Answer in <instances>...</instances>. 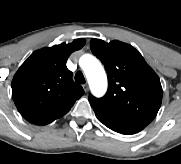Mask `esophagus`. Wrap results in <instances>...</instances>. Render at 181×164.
Segmentation results:
<instances>
[{
  "label": "esophagus",
  "mask_w": 181,
  "mask_h": 164,
  "mask_svg": "<svg viewBox=\"0 0 181 164\" xmlns=\"http://www.w3.org/2000/svg\"><path fill=\"white\" fill-rule=\"evenodd\" d=\"M83 89H84L85 92H87L88 89H89V88H88V85H87V84H83Z\"/></svg>",
  "instance_id": "1"
}]
</instances>
